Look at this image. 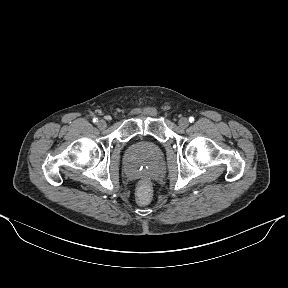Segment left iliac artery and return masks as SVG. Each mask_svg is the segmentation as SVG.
I'll return each instance as SVG.
<instances>
[{"label": "left iliac artery", "instance_id": "44dca946", "mask_svg": "<svg viewBox=\"0 0 288 288\" xmlns=\"http://www.w3.org/2000/svg\"><path fill=\"white\" fill-rule=\"evenodd\" d=\"M189 122H191V123L194 122V117H190Z\"/></svg>", "mask_w": 288, "mask_h": 288}]
</instances>
